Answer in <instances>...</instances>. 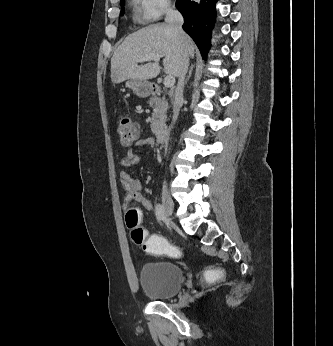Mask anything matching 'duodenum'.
Returning <instances> with one entry per match:
<instances>
[{
    "instance_id": "1",
    "label": "duodenum",
    "mask_w": 333,
    "mask_h": 346,
    "mask_svg": "<svg viewBox=\"0 0 333 346\" xmlns=\"http://www.w3.org/2000/svg\"><path fill=\"white\" fill-rule=\"evenodd\" d=\"M153 93L154 94L159 93V89L155 87L153 89ZM155 135H156V139L159 143H164L168 139L169 128L167 126L158 127L156 129Z\"/></svg>"
}]
</instances>
